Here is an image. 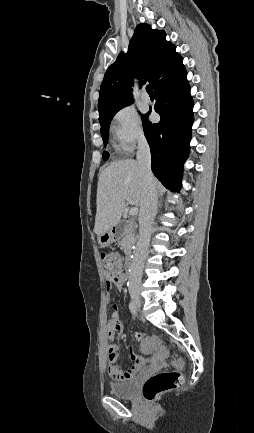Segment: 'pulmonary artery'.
I'll use <instances>...</instances> for the list:
<instances>
[{
    "mask_svg": "<svg viewBox=\"0 0 254 433\" xmlns=\"http://www.w3.org/2000/svg\"><path fill=\"white\" fill-rule=\"evenodd\" d=\"M142 100L144 103H149L150 102V97L147 93H144L142 96Z\"/></svg>",
    "mask_w": 254,
    "mask_h": 433,
    "instance_id": "obj_1",
    "label": "pulmonary artery"
}]
</instances>
